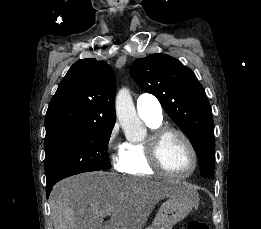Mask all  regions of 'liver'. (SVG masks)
<instances>
[{
	"mask_svg": "<svg viewBox=\"0 0 261 229\" xmlns=\"http://www.w3.org/2000/svg\"><path fill=\"white\" fill-rule=\"evenodd\" d=\"M175 193L170 183L105 171L68 177L51 193L54 229H142L158 201Z\"/></svg>",
	"mask_w": 261,
	"mask_h": 229,
	"instance_id": "6515ba94",
	"label": "liver"
}]
</instances>
